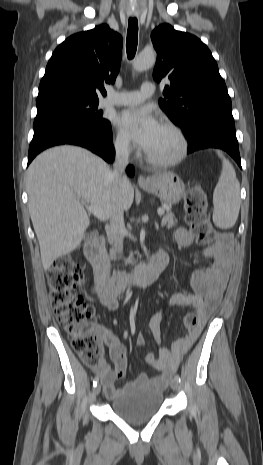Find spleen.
I'll use <instances>...</instances> for the list:
<instances>
[{"instance_id": "1", "label": "spleen", "mask_w": 263, "mask_h": 465, "mask_svg": "<svg viewBox=\"0 0 263 465\" xmlns=\"http://www.w3.org/2000/svg\"><path fill=\"white\" fill-rule=\"evenodd\" d=\"M239 193L240 184L235 170L229 161L223 158L221 174L213 193V222L219 228H231L236 223L240 209Z\"/></svg>"}]
</instances>
